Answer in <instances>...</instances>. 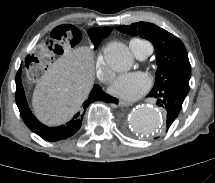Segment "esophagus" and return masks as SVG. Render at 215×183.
<instances>
[{
    "mask_svg": "<svg viewBox=\"0 0 215 183\" xmlns=\"http://www.w3.org/2000/svg\"><path fill=\"white\" fill-rule=\"evenodd\" d=\"M132 104L133 102H129V101H124V100L119 101V105L122 107H128V106H131Z\"/></svg>",
    "mask_w": 215,
    "mask_h": 183,
    "instance_id": "34e87169",
    "label": "esophagus"
}]
</instances>
